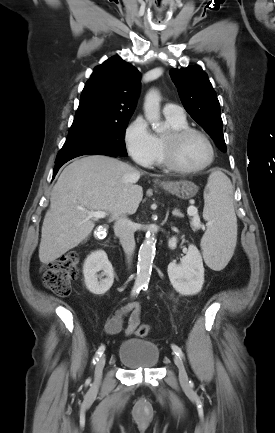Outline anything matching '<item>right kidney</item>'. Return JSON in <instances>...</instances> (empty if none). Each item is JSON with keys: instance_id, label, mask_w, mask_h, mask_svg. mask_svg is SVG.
Wrapping results in <instances>:
<instances>
[{"instance_id": "ca27d5eb", "label": "right kidney", "mask_w": 275, "mask_h": 433, "mask_svg": "<svg viewBox=\"0 0 275 433\" xmlns=\"http://www.w3.org/2000/svg\"><path fill=\"white\" fill-rule=\"evenodd\" d=\"M102 271L100 275L97 273ZM84 281L87 289L96 295L105 294L114 281V271L107 254L98 250L92 252L83 265ZM105 278H102L104 277ZM99 279V280H98Z\"/></svg>"}]
</instances>
